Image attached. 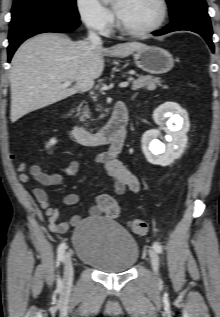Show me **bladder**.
I'll use <instances>...</instances> for the list:
<instances>
[{
	"mask_svg": "<svg viewBox=\"0 0 220 317\" xmlns=\"http://www.w3.org/2000/svg\"><path fill=\"white\" fill-rule=\"evenodd\" d=\"M72 243L77 259L101 272H127L139 259L137 240L122 225L101 216L82 220Z\"/></svg>",
	"mask_w": 220,
	"mask_h": 317,
	"instance_id": "1",
	"label": "bladder"
}]
</instances>
